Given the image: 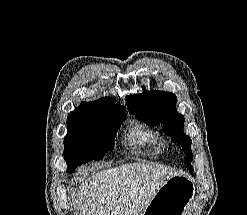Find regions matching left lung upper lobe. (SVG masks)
<instances>
[{
    "mask_svg": "<svg viewBox=\"0 0 247 215\" xmlns=\"http://www.w3.org/2000/svg\"><path fill=\"white\" fill-rule=\"evenodd\" d=\"M125 100L129 113L135 114L150 126L159 123L164 125L165 134L172 136L173 141L181 144L186 151V166L192 173L191 140L183 132L184 116L176 111V96L164 91H144L141 94L127 96Z\"/></svg>",
    "mask_w": 247,
    "mask_h": 215,
    "instance_id": "1",
    "label": "left lung upper lobe"
}]
</instances>
